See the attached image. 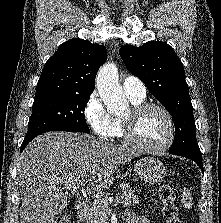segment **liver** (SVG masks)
<instances>
[{
  "label": "liver",
  "mask_w": 221,
  "mask_h": 223,
  "mask_svg": "<svg viewBox=\"0 0 221 223\" xmlns=\"http://www.w3.org/2000/svg\"><path fill=\"white\" fill-rule=\"evenodd\" d=\"M139 154L135 148L88 134L48 132L37 136L17 163L20 223H56L68 205L60 185L88 183L96 191L105 190L113 184L118 167Z\"/></svg>",
  "instance_id": "6515ba94"
}]
</instances>
